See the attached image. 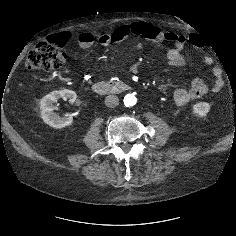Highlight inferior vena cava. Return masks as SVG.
I'll return each mask as SVG.
<instances>
[{"mask_svg": "<svg viewBox=\"0 0 236 236\" xmlns=\"http://www.w3.org/2000/svg\"><path fill=\"white\" fill-rule=\"evenodd\" d=\"M118 104H119V99L115 95H108L105 98V105L107 107L113 108V107H116Z\"/></svg>", "mask_w": 236, "mask_h": 236, "instance_id": "602c4592", "label": "inferior vena cava"}]
</instances>
